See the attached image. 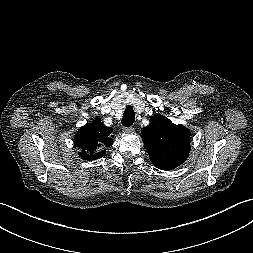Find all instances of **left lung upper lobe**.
<instances>
[{
    "label": "left lung upper lobe",
    "mask_w": 253,
    "mask_h": 253,
    "mask_svg": "<svg viewBox=\"0 0 253 253\" xmlns=\"http://www.w3.org/2000/svg\"><path fill=\"white\" fill-rule=\"evenodd\" d=\"M141 133L149 158L157 168L171 170L188 158L191 133L183 125H176L163 115H155Z\"/></svg>",
    "instance_id": "5c2ea615"
}]
</instances>
